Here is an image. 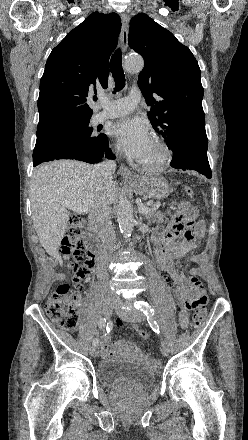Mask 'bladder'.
<instances>
[{
    "mask_svg": "<svg viewBox=\"0 0 248 440\" xmlns=\"http://www.w3.org/2000/svg\"><path fill=\"white\" fill-rule=\"evenodd\" d=\"M95 373L102 386L116 390H142L155 381V371L151 367L122 359L101 361Z\"/></svg>",
    "mask_w": 248,
    "mask_h": 440,
    "instance_id": "bladder-1",
    "label": "bladder"
}]
</instances>
